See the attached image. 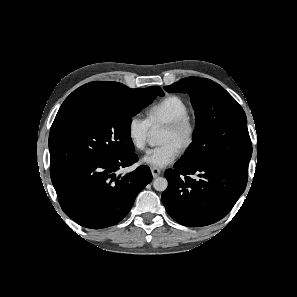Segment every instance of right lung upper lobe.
I'll return each mask as SVG.
<instances>
[{"instance_id": "cb5924a9", "label": "right lung upper lobe", "mask_w": 297, "mask_h": 297, "mask_svg": "<svg viewBox=\"0 0 297 297\" xmlns=\"http://www.w3.org/2000/svg\"><path fill=\"white\" fill-rule=\"evenodd\" d=\"M121 85L125 86L118 82L108 81H94L82 85L65 99L58 112H64L82 103L100 101L111 97L117 90H119V86Z\"/></svg>"}]
</instances>
